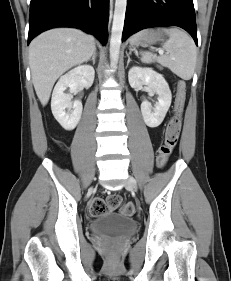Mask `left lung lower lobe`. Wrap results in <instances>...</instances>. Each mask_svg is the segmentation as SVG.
Returning a JSON list of instances; mask_svg holds the SVG:
<instances>
[{
    "label": "left lung lower lobe",
    "mask_w": 231,
    "mask_h": 281,
    "mask_svg": "<svg viewBox=\"0 0 231 281\" xmlns=\"http://www.w3.org/2000/svg\"><path fill=\"white\" fill-rule=\"evenodd\" d=\"M158 26H179L198 44L193 0H127L122 40Z\"/></svg>",
    "instance_id": "left-lung-lower-lobe-1"
}]
</instances>
